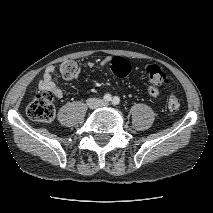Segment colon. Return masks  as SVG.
<instances>
[{
    "mask_svg": "<svg viewBox=\"0 0 213 213\" xmlns=\"http://www.w3.org/2000/svg\"><path fill=\"white\" fill-rule=\"evenodd\" d=\"M111 70L117 77H126L130 74L131 65L123 58H113ZM61 75L66 79H72L78 73L76 62L68 60L59 67ZM145 76L150 85L161 87L168 83L167 74L157 65L149 64L145 67ZM168 108L176 112L180 108V100L176 95H170L168 98ZM27 115L36 121L42 123H51L55 117V107L53 104V94L50 91L39 92L27 107Z\"/></svg>",
    "mask_w": 213,
    "mask_h": 213,
    "instance_id": "1",
    "label": "colon"
}]
</instances>
